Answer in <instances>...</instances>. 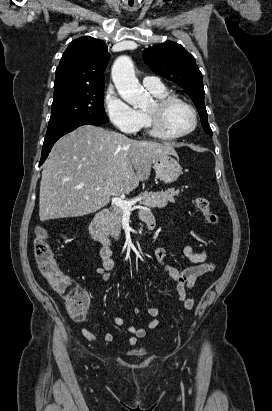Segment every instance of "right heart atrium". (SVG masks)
I'll list each match as a JSON object with an SVG mask.
<instances>
[{
    "mask_svg": "<svg viewBox=\"0 0 272 411\" xmlns=\"http://www.w3.org/2000/svg\"><path fill=\"white\" fill-rule=\"evenodd\" d=\"M104 108L112 124L122 132L134 134L142 127V114L121 98L113 87L104 95Z\"/></svg>",
    "mask_w": 272,
    "mask_h": 411,
    "instance_id": "obj_1",
    "label": "right heart atrium"
}]
</instances>
